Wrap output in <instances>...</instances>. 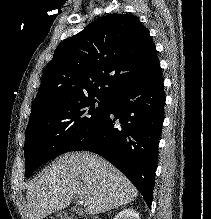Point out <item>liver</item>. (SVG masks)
<instances>
[{"label":"liver","mask_w":211,"mask_h":219,"mask_svg":"<svg viewBox=\"0 0 211 219\" xmlns=\"http://www.w3.org/2000/svg\"><path fill=\"white\" fill-rule=\"evenodd\" d=\"M79 195L88 214L132 202L137 189L117 168L89 152L67 153L45 169L27 190L30 219H43L66 208Z\"/></svg>","instance_id":"6515ba94"}]
</instances>
